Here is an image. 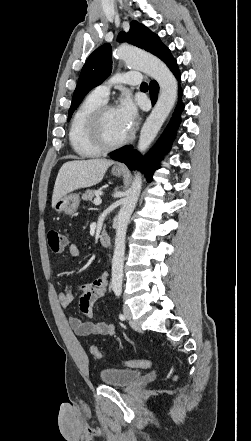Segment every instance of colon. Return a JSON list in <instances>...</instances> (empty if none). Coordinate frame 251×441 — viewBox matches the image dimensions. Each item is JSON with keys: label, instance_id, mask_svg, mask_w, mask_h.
I'll use <instances>...</instances> for the list:
<instances>
[{"label": "colon", "instance_id": "1", "mask_svg": "<svg viewBox=\"0 0 251 441\" xmlns=\"http://www.w3.org/2000/svg\"><path fill=\"white\" fill-rule=\"evenodd\" d=\"M48 244L52 252L54 253H60L64 251V249L67 246V237L57 230H51L48 232L47 235ZM90 354L95 357H100V351L99 349L92 345L89 348ZM125 366L129 368H138V369H145L149 368L152 364L150 360H128L124 362Z\"/></svg>", "mask_w": 251, "mask_h": 441}]
</instances>
